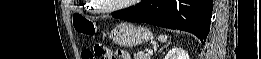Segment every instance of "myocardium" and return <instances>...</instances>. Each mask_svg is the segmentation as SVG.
Wrapping results in <instances>:
<instances>
[{"instance_id":"f54148a6","label":"myocardium","mask_w":261,"mask_h":59,"mask_svg":"<svg viewBox=\"0 0 261 59\" xmlns=\"http://www.w3.org/2000/svg\"><path fill=\"white\" fill-rule=\"evenodd\" d=\"M92 3H94V5H95L96 1H92ZM129 3H131V2H128L127 4H119L116 6L105 7V8L97 7L96 10L100 13H106V14L113 13V12L126 8L127 6H129Z\"/></svg>"}]
</instances>
